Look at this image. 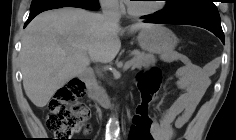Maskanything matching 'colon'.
I'll return each mask as SVG.
<instances>
[{
    "label": "colon",
    "mask_w": 236,
    "mask_h": 140,
    "mask_svg": "<svg viewBox=\"0 0 236 140\" xmlns=\"http://www.w3.org/2000/svg\"><path fill=\"white\" fill-rule=\"evenodd\" d=\"M159 85L160 76L157 69L141 75L138 82L140 101L131 118L127 140H153L150 110ZM84 94V83L75 78L60 87L50 100L46 123L48 129L57 138L55 140H70L73 134L85 127L88 111L79 102Z\"/></svg>",
    "instance_id": "colon-1"
}]
</instances>
